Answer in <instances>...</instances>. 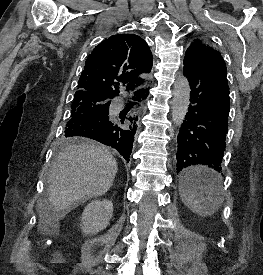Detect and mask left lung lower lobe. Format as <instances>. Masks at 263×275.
<instances>
[{
    "mask_svg": "<svg viewBox=\"0 0 263 275\" xmlns=\"http://www.w3.org/2000/svg\"><path fill=\"white\" fill-rule=\"evenodd\" d=\"M184 75L191 86L188 113L177 136V172L190 185L211 190L225 151L230 110L225 62L190 55Z\"/></svg>",
    "mask_w": 263,
    "mask_h": 275,
    "instance_id": "1",
    "label": "left lung lower lobe"
}]
</instances>
